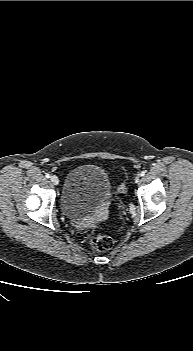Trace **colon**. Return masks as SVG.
I'll return each instance as SVG.
<instances>
[{"mask_svg":"<svg viewBox=\"0 0 193 351\" xmlns=\"http://www.w3.org/2000/svg\"><path fill=\"white\" fill-rule=\"evenodd\" d=\"M86 238L89 240L91 247L99 252L110 250L113 246L111 237L97 233L93 228H87L84 231Z\"/></svg>","mask_w":193,"mask_h":351,"instance_id":"1","label":"colon"}]
</instances>
